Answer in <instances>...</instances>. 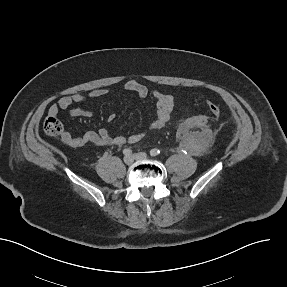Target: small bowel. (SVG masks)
<instances>
[{"label":"small bowel","mask_w":287,"mask_h":287,"mask_svg":"<svg viewBox=\"0 0 287 287\" xmlns=\"http://www.w3.org/2000/svg\"><path fill=\"white\" fill-rule=\"evenodd\" d=\"M124 88L136 94L140 98L151 97L155 103V118L150 124V129L158 130L163 128L168 122L172 111L174 109V96L168 93H162L149 89L135 81L127 80L124 84ZM108 91L106 89H96L91 91L87 95L74 94L71 96L62 97L57 104H53L49 108L50 115H57L60 111H66L74 117H91L93 112L85 108L74 107L75 104H84L91 99H97L106 95ZM114 117L111 116L110 120ZM144 137V133L132 134L128 136H113L105 129H99L97 131H88L82 135H74L69 131H64L62 134V141L71 147H83L87 144H94L96 146H116L124 144H134L139 142Z\"/></svg>","instance_id":"c3829d8e"}]
</instances>
